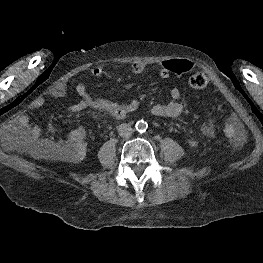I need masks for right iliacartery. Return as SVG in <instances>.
<instances>
[{"instance_id":"obj_1","label":"right iliac artery","mask_w":263,"mask_h":263,"mask_svg":"<svg viewBox=\"0 0 263 263\" xmlns=\"http://www.w3.org/2000/svg\"><path fill=\"white\" fill-rule=\"evenodd\" d=\"M138 127H139V124H138V122L136 123V129H138Z\"/></svg>"}]
</instances>
